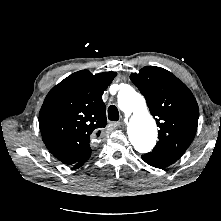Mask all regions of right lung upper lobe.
<instances>
[{
    "label": "right lung upper lobe",
    "mask_w": 221,
    "mask_h": 221,
    "mask_svg": "<svg viewBox=\"0 0 221 221\" xmlns=\"http://www.w3.org/2000/svg\"><path fill=\"white\" fill-rule=\"evenodd\" d=\"M116 72L71 74L50 90L39 114L43 141L61 162L75 165L91 155L90 141L107 125L102 94Z\"/></svg>",
    "instance_id": "right-lung-upper-lobe-1"
}]
</instances>
